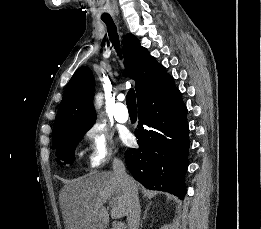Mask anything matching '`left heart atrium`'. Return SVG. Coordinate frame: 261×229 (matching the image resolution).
<instances>
[{"label":"left heart atrium","mask_w":261,"mask_h":229,"mask_svg":"<svg viewBox=\"0 0 261 229\" xmlns=\"http://www.w3.org/2000/svg\"><path fill=\"white\" fill-rule=\"evenodd\" d=\"M124 140L126 141V142H131L132 140H133V136H132V134L131 133H129V132H126L125 133V136H124Z\"/></svg>","instance_id":"obj_1"}]
</instances>
